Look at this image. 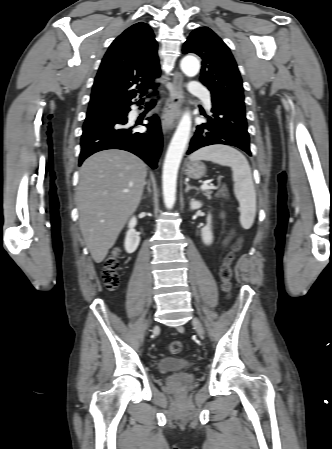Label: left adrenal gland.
Masks as SVG:
<instances>
[{
	"label": "left adrenal gland",
	"instance_id": "obj_1",
	"mask_svg": "<svg viewBox=\"0 0 332 449\" xmlns=\"http://www.w3.org/2000/svg\"><path fill=\"white\" fill-rule=\"evenodd\" d=\"M186 188H185V192H188L191 189H196L194 186H190L189 183L185 182Z\"/></svg>",
	"mask_w": 332,
	"mask_h": 449
}]
</instances>
